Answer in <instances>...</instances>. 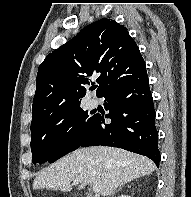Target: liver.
<instances>
[{
  "instance_id": "1",
  "label": "liver",
  "mask_w": 191,
  "mask_h": 197,
  "mask_svg": "<svg viewBox=\"0 0 191 197\" xmlns=\"http://www.w3.org/2000/svg\"><path fill=\"white\" fill-rule=\"evenodd\" d=\"M154 170L152 160L121 148H80L41 170L34 179L33 189L69 192L71 182L79 180V190L89 184L100 185V194L106 197L118 187Z\"/></svg>"
}]
</instances>
